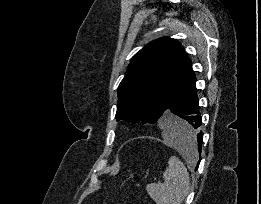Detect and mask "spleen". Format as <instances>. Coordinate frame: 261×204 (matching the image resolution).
<instances>
[{
  "mask_svg": "<svg viewBox=\"0 0 261 204\" xmlns=\"http://www.w3.org/2000/svg\"><path fill=\"white\" fill-rule=\"evenodd\" d=\"M172 118L179 120L178 117ZM163 139L168 146L180 152L189 153V149H192L193 153L197 151L195 139L179 141L166 130L163 131ZM168 163L169 166L163 173L164 183L148 184L147 193L156 204H182L190 186L189 173L185 165L175 156L170 157Z\"/></svg>",
  "mask_w": 261,
  "mask_h": 204,
  "instance_id": "3e777b00",
  "label": "spleen"
}]
</instances>
